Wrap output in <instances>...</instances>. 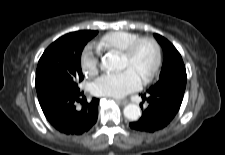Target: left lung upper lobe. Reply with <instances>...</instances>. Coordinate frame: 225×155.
Returning a JSON list of instances; mask_svg holds the SVG:
<instances>
[{"instance_id":"5c2ea615","label":"left lung upper lobe","mask_w":225,"mask_h":155,"mask_svg":"<svg viewBox=\"0 0 225 155\" xmlns=\"http://www.w3.org/2000/svg\"><path fill=\"white\" fill-rule=\"evenodd\" d=\"M155 38L162 46L164 61L158 82L152 86L147 93L166 92L179 90L184 93L186 88V69L180 53L164 37L154 34Z\"/></svg>"}]
</instances>
